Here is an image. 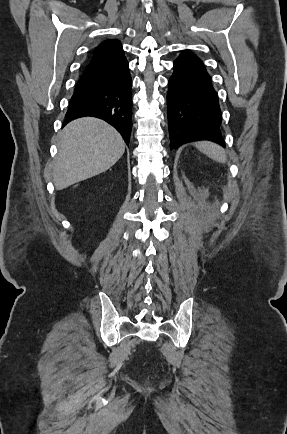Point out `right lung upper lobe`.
Returning <instances> with one entry per match:
<instances>
[{"label": "right lung upper lobe", "instance_id": "obj_1", "mask_svg": "<svg viewBox=\"0 0 287 434\" xmlns=\"http://www.w3.org/2000/svg\"><path fill=\"white\" fill-rule=\"evenodd\" d=\"M123 51L122 45L118 40H106L101 42L94 50L90 61L100 60L118 52Z\"/></svg>", "mask_w": 287, "mask_h": 434}]
</instances>
